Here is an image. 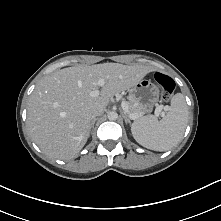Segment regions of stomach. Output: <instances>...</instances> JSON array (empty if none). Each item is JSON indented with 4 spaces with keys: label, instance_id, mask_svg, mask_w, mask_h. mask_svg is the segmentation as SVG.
I'll list each match as a JSON object with an SVG mask.
<instances>
[{
    "label": "stomach",
    "instance_id": "stomach-1",
    "mask_svg": "<svg viewBox=\"0 0 221 221\" xmlns=\"http://www.w3.org/2000/svg\"><path fill=\"white\" fill-rule=\"evenodd\" d=\"M131 97L141 106L144 113L150 112L159 100V89L150 80L142 79L130 89Z\"/></svg>",
    "mask_w": 221,
    "mask_h": 221
}]
</instances>
